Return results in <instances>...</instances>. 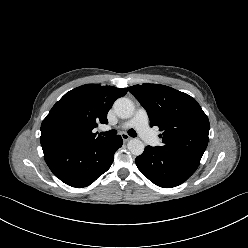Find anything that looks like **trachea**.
<instances>
[{
    "label": "trachea",
    "mask_w": 248,
    "mask_h": 248,
    "mask_svg": "<svg viewBox=\"0 0 248 248\" xmlns=\"http://www.w3.org/2000/svg\"><path fill=\"white\" fill-rule=\"evenodd\" d=\"M101 134L103 136L112 137V136H115L117 134V131L116 130H110V131H106V132H101ZM128 134L131 137H136L137 136V133L132 129L128 131Z\"/></svg>",
    "instance_id": "trachea-1"
}]
</instances>
